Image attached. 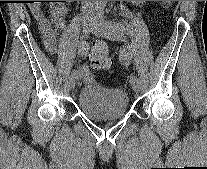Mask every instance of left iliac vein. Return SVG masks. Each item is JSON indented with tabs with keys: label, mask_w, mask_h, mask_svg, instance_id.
Masks as SVG:
<instances>
[{
	"label": "left iliac vein",
	"mask_w": 207,
	"mask_h": 169,
	"mask_svg": "<svg viewBox=\"0 0 207 169\" xmlns=\"http://www.w3.org/2000/svg\"><path fill=\"white\" fill-rule=\"evenodd\" d=\"M92 32L98 36L104 37L109 40H116L119 38V34L112 27L111 22H107V21L103 20L102 18L94 19L93 25H92ZM130 83H131L132 88L135 92L140 91L141 84L138 80L130 82Z\"/></svg>",
	"instance_id": "obj_1"
}]
</instances>
